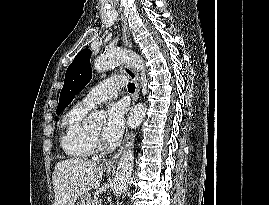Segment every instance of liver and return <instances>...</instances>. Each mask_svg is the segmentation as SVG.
<instances>
[{
    "instance_id": "obj_1",
    "label": "liver",
    "mask_w": 269,
    "mask_h": 205,
    "mask_svg": "<svg viewBox=\"0 0 269 205\" xmlns=\"http://www.w3.org/2000/svg\"><path fill=\"white\" fill-rule=\"evenodd\" d=\"M103 170L101 163L81 158L58 162L52 177L55 205H75L79 196L99 184Z\"/></svg>"
}]
</instances>
